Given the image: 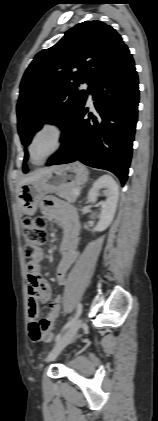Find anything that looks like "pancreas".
<instances>
[{
	"label": "pancreas",
	"instance_id": "obj_1",
	"mask_svg": "<svg viewBox=\"0 0 158 421\" xmlns=\"http://www.w3.org/2000/svg\"><path fill=\"white\" fill-rule=\"evenodd\" d=\"M75 188L63 189L57 192V195L68 202L74 203L77 200V195L74 194Z\"/></svg>",
	"mask_w": 158,
	"mask_h": 421
}]
</instances>
